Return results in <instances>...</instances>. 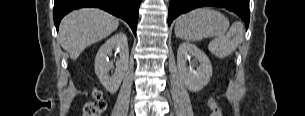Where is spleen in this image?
Returning <instances> with one entry per match:
<instances>
[{"label":"spleen","instance_id":"3e777b00","mask_svg":"<svg viewBox=\"0 0 305 116\" xmlns=\"http://www.w3.org/2000/svg\"><path fill=\"white\" fill-rule=\"evenodd\" d=\"M229 28L228 19L219 11L202 7L180 15L175 24V35L179 39L196 42L216 37L213 43H226L225 33Z\"/></svg>","mask_w":305,"mask_h":116}]
</instances>
